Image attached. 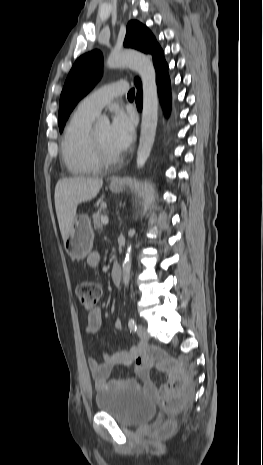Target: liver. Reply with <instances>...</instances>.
Masks as SVG:
<instances>
[{"mask_svg":"<svg viewBox=\"0 0 263 465\" xmlns=\"http://www.w3.org/2000/svg\"><path fill=\"white\" fill-rule=\"evenodd\" d=\"M103 185L101 178H62L55 186V208L63 240L76 216L77 206L97 196Z\"/></svg>","mask_w":263,"mask_h":465,"instance_id":"obj_1","label":"liver"}]
</instances>
